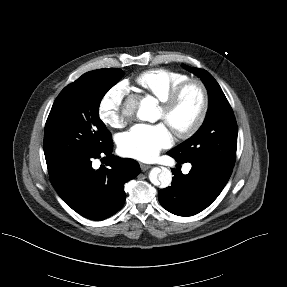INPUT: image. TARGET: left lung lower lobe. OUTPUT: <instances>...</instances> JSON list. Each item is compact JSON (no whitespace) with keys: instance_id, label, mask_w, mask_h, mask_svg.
I'll list each match as a JSON object with an SVG mask.
<instances>
[{"instance_id":"obj_1","label":"left lung lower lobe","mask_w":287,"mask_h":287,"mask_svg":"<svg viewBox=\"0 0 287 287\" xmlns=\"http://www.w3.org/2000/svg\"><path fill=\"white\" fill-rule=\"evenodd\" d=\"M168 155L179 164H192L187 175L178 168L173 169L171 186L159 191L160 204L179 216H192L207 208L221 193L233 169L203 157L182 160L169 152Z\"/></svg>"}]
</instances>
